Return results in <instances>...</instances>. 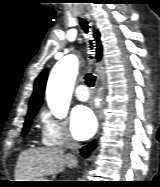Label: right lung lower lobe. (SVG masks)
Segmentation results:
<instances>
[{
  "mask_svg": "<svg viewBox=\"0 0 160 187\" xmlns=\"http://www.w3.org/2000/svg\"><path fill=\"white\" fill-rule=\"evenodd\" d=\"M96 147V141L91 142L88 146H85L81 149V155L83 157L89 156L90 152L93 151Z\"/></svg>",
  "mask_w": 160,
  "mask_h": 187,
  "instance_id": "98d812e1",
  "label": "right lung lower lobe"
}]
</instances>
